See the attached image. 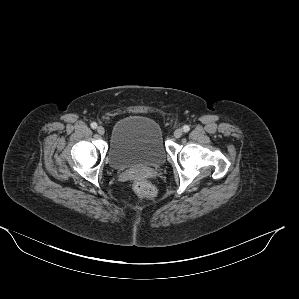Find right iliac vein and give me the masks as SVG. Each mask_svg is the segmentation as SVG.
Instances as JSON below:
<instances>
[{
    "label": "right iliac vein",
    "instance_id": "right-iliac-vein-1",
    "mask_svg": "<svg viewBox=\"0 0 299 299\" xmlns=\"http://www.w3.org/2000/svg\"><path fill=\"white\" fill-rule=\"evenodd\" d=\"M97 132H98L100 135H104V133H105V129H104V127H102V126L97 127Z\"/></svg>",
    "mask_w": 299,
    "mask_h": 299
}]
</instances>
